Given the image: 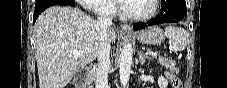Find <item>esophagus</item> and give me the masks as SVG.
Here are the masks:
<instances>
[{
    "instance_id": "1",
    "label": "esophagus",
    "mask_w": 227,
    "mask_h": 88,
    "mask_svg": "<svg viewBox=\"0 0 227 88\" xmlns=\"http://www.w3.org/2000/svg\"><path fill=\"white\" fill-rule=\"evenodd\" d=\"M121 30L130 32V31H132V28H131V26L129 24L122 23L121 24Z\"/></svg>"
}]
</instances>
